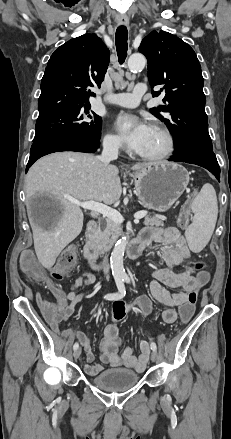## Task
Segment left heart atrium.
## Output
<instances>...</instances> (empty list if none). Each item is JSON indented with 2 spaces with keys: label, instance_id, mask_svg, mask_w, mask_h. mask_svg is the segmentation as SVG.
Listing matches in <instances>:
<instances>
[{
  "label": "left heart atrium",
  "instance_id": "obj_1",
  "mask_svg": "<svg viewBox=\"0 0 231 439\" xmlns=\"http://www.w3.org/2000/svg\"><path fill=\"white\" fill-rule=\"evenodd\" d=\"M124 143L132 150L139 152L149 137L153 127L131 114H121L115 122Z\"/></svg>",
  "mask_w": 231,
  "mask_h": 439
}]
</instances>
